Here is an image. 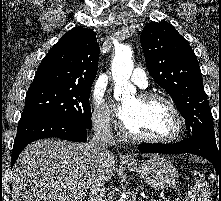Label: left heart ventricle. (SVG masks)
<instances>
[{"instance_id":"b2bd125f","label":"left heart ventricle","mask_w":221,"mask_h":201,"mask_svg":"<svg viewBox=\"0 0 221 201\" xmlns=\"http://www.w3.org/2000/svg\"><path fill=\"white\" fill-rule=\"evenodd\" d=\"M123 122L132 132L150 136L167 137L174 133L176 122L169 108L162 101H140L136 97L127 99Z\"/></svg>"}]
</instances>
